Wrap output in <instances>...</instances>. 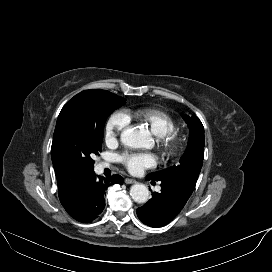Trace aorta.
Segmentation results:
<instances>
[{"instance_id":"obj_1","label":"aorta","mask_w":272,"mask_h":272,"mask_svg":"<svg viewBox=\"0 0 272 272\" xmlns=\"http://www.w3.org/2000/svg\"><path fill=\"white\" fill-rule=\"evenodd\" d=\"M123 145L131 148L145 147L149 142V134L141 127H130L121 134ZM132 199L137 203H146L149 197V190L144 184H134L130 189Z\"/></svg>"}]
</instances>
